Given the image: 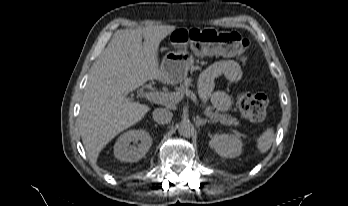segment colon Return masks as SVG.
<instances>
[{
	"mask_svg": "<svg viewBox=\"0 0 348 206\" xmlns=\"http://www.w3.org/2000/svg\"><path fill=\"white\" fill-rule=\"evenodd\" d=\"M177 44L205 43L214 52L221 55L245 57L250 48L248 38L235 31H221L204 28H188L173 34ZM241 113L251 121L260 122L266 117L268 98L261 93L243 92L237 100Z\"/></svg>",
	"mask_w": 348,
	"mask_h": 206,
	"instance_id": "colon-1",
	"label": "colon"
}]
</instances>
